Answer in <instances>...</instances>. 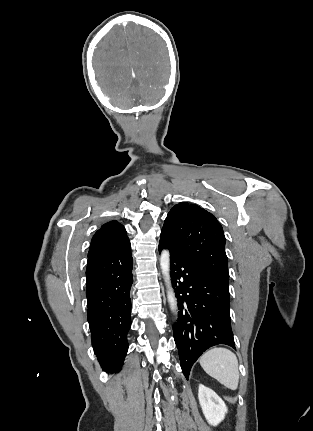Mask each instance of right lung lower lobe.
<instances>
[{
  "mask_svg": "<svg viewBox=\"0 0 313 431\" xmlns=\"http://www.w3.org/2000/svg\"><path fill=\"white\" fill-rule=\"evenodd\" d=\"M132 263L130 241L87 262V319L94 353L106 372H118L128 350Z\"/></svg>",
  "mask_w": 313,
  "mask_h": 431,
  "instance_id": "obj_1",
  "label": "right lung lower lobe"
}]
</instances>
